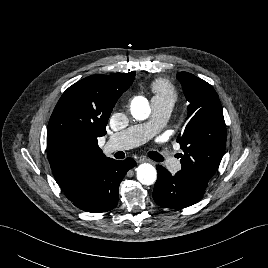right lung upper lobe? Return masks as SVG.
<instances>
[{"instance_id":"cb5924a9","label":"right lung upper lobe","mask_w":268,"mask_h":268,"mask_svg":"<svg viewBox=\"0 0 268 268\" xmlns=\"http://www.w3.org/2000/svg\"><path fill=\"white\" fill-rule=\"evenodd\" d=\"M135 72L93 75L70 86L59 99L47 129V156L56 182L71 200L93 170L108 159L98 147L117 100L133 83ZM69 142L79 156L61 158L56 149Z\"/></svg>"}]
</instances>
